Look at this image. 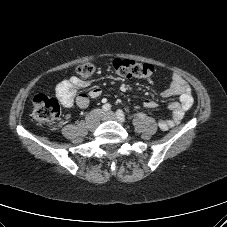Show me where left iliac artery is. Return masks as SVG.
Returning a JSON list of instances; mask_svg holds the SVG:
<instances>
[{
  "label": "left iliac artery",
  "mask_w": 227,
  "mask_h": 227,
  "mask_svg": "<svg viewBox=\"0 0 227 227\" xmlns=\"http://www.w3.org/2000/svg\"><path fill=\"white\" fill-rule=\"evenodd\" d=\"M116 115L122 122L125 121V115H124V113H123V111L121 109L117 110Z\"/></svg>",
  "instance_id": "1"
}]
</instances>
